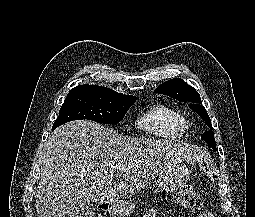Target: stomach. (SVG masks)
<instances>
[{
    "instance_id": "obj_1",
    "label": "stomach",
    "mask_w": 255,
    "mask_h": 217,
    "mask_svg": "<svg viewBox=\"0 0 255 217\" xmlns=\"http://www.w3.org/2000/svg\"><path fill=\"white\" fill-rule=\"evenodd\" d=\"M189 178V170L183 162L163 171L158 178L161 190L173 192L181 187ZM136 204L123 199L109 203L108 211L113 217H126L134 211Z\"/></svg>"
}]
</instances>
